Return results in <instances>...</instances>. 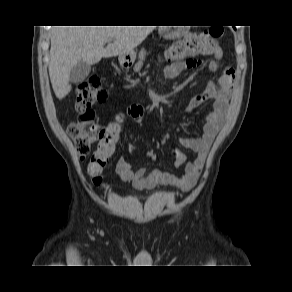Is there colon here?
<instances>
[{"label":"colon","instance_id":"colon-1","mask_svg":"<svg viewBox=\"0 0 292 292\" xmlns=\"http://www.w3.org/2000/svg\"><path fill=\"white\" fill-rule=\"evenodd\" d=\"M222 35L223 29L219 27H211L200 33L190 34L170 46L165 52V59L177 62L196 55H209L214 52ZM107 97L108 92L102 87L100 77H92L89 81L79 84L75 100L77 119L71 122L67 128L81 160L90 153L91 146L98 143L97 149L90 157L88 173L95 185L103 187L106 185L102 180L101 173L109 159L114 155L121 128V118L107 126H101L96 122L93 106L104 102ZM147 157L156 161L159 152L151 148L147 151Z\"/></svg>","mask_w":292,"mask_h":292}]
</instances>
